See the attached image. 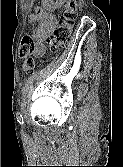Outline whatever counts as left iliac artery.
<instances>
[{
    "label": "left iliac artery",
    "mask_w": 123,
    "mask_h": 167,
    "mask_svg": "<svg viewBox=\"0 0 123 167\" xmlns=\"http://www.w3.org/2000/svg\"><path fill=\"white\" fill-rule=\"evenodd\" d=\"M16 118H17V121L19 122V124H21V125L24 124L23 117L19 111L16 112Z\"/></svg>",
    "instance_id": "1"
}]
</instances>
